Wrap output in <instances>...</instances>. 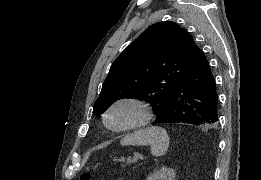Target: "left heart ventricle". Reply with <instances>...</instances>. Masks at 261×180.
Here are the masks:
<instances>
[{"label":"left heart ventricle","mask_w":261,"mask_h":180,"mask_svg":"<svg viewBox=\"0 0 261 180\" xmlns=\"http://www.w3.org/2000/svg\"><path fill=\"white\" fill-rule=\"evenodd\" d=\"M135 115V110L130 106H122L116 109L112 115L114 125H122L131 120Z\"/></svg>","instance_id":"obj_1"}]
</instances>
